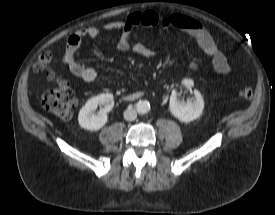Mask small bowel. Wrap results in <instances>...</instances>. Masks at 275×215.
Listing matches in <instances>:
<instances>
[{
  "mask_svg": "<svg viewBox=\"0 0 275 215\" xmlns=\"http://www.w3.org/2000/svg\"><path fill=\"white\" fill-rule=\"evenodd\" d=\"M136 27H161L164 29L177 28L191 36L200 49L210 57L213 68L219 73H228L231 69L226 56L217 48L210 33L196 19L176 13H159L155 10L134 12L125 20L112 21L104 24L101 28L89 27L78 30L71 34L63 53V62L70 71L87 83H92L97 78L94 68L85 65L77 58V52L82 41L86 37L95 38L101 31H121L118 48L122 51H131L145 58L155 57V52L141 43H132L131 34ZM189 68L197 70L199 63L192 61Z\"/></svg>",
  "mask_w": 275,
  "mask_h": 215,
  "instance_id": "obj_1",
  "label": "small bowel"
}]
</instances>
